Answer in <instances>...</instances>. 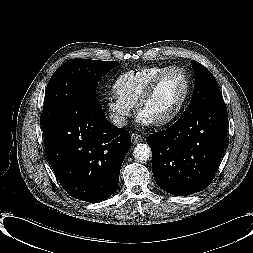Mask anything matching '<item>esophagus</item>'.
Masks as SVG:
<instances>
[{
  "mask_svg": "<svg viewBox=\"0 0 253 253\" xmlns=\"http://www.w3.org/2000/svg\"><path fill=\"white\" fill-rule=\"evenodd\" d=\"M143 136L138 133H132L131 139L133 144H137L138 142H141L143 140Z\"/></svg>",
  "mask_w": 253,
  "mask_h": 253,
  "instance_id": "34e87169",
  "label": "esophagus"
}]
</instances>
